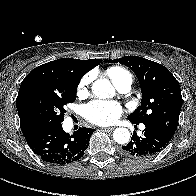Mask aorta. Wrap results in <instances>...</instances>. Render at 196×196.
I'll return each mask as SVG.
<instances>
[{"instance_id":"aorta-1","label":"aorta","mask_w":196,"mask_h":196,"mask_svg":"<svg viewBox=\"0 0 196 196\" xmlns=\"http://www.w3.org/2000/svg\"><path fill=\"white\" fill-rule=\"evenodd\" d=\"M92 92L100 99H106L114 95V88L109 80L98 79L92 84ZM113 139L119 144L128 143L130 132L127 128H117L113 132Z\"/></svg>"}]
</instances>
